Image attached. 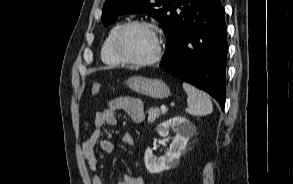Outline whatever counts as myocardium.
<instances>
[{"label": "myocardium", "instance_id": "1", "mask_svg": "<svg viewBox=\"0 0 293 184\" xmlns=\"http://www.w3.org/2000/svg\"><path fill=\"white\" fill-rule=\"evenodd\" d=\"M135 26H140V27H145L149 29L152 34L154 35L155 41H156V50L154 54L143 60H135L126 57L120 50L119 43L122 35L131 27ZM164 41L162 38V35L160 33V30L156 25H154L151 22L145 21V20H132L129 22H126L121 25V27L116 31L113 40H112V50L114 55L117 57L118 60H120L121 63H126L129 65H134V66H149L157 63L160 61L164 54Z\"/></svg>", "mask_w": 293, "mask_h": 184}]
</instances>
